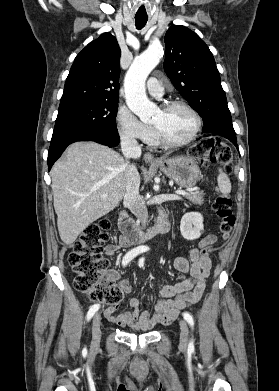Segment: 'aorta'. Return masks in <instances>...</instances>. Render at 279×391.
Segmentation results:
<instances>
[{"label":"aorta","instance_id":"762f6f07","mask_svg":"<svg viewBox=\"0 0 279 391\" xmlns=\"http://www.w3.org/2000/svg\"><path fill=\"white\" fill-rule=\"evenodd\" d=\"M163 56L160 43L151 44L131 64L124 80L126 103L142 121L149 120L156 112V105L149 101L145 92V81Z\"/></svg>","mask_w":279,"mask_h":391}]
</instances>
